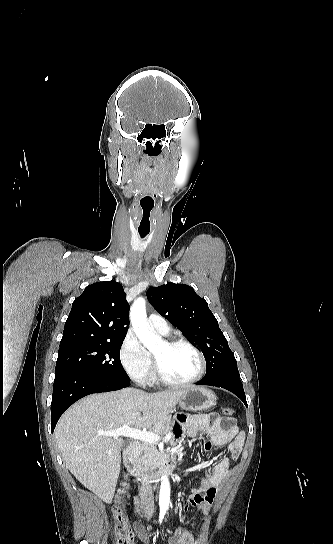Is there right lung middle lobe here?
Wrapping results in <instances>:
<instances>
[{"label":"right lung middle lobe","mask_w":333,"mask_h":544,"mask_svg":"<svg viewBox=\"0 0 333 544\" xmlns=\"http://www.w3.org/2000/svg\"><path fill=\"white\" fill-rule=\"evenodd\" d=\"M125 337L98 340L60 348L56 370L71 369L96 378L117 382L130 380L120 361V348Z\"/></svg>","instance_id":"right-lung-middle-lobe-1"}]
</instances>
